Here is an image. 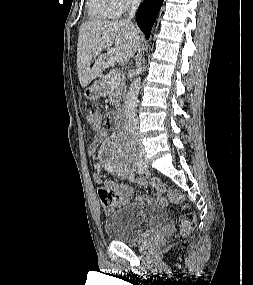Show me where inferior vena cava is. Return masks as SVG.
Instances as JSON below:
<instances>
[{
	"mask_svg": "<svg viewBox=\"0 0 253 285\" xmlns=\"http://www.w3.org/2000/svg\"><path fill=\"white\" fill-rule=\"evenodd\" d=\"M140 0H132L131 1V8L128 14V17L125 21L130 22L131 23V19L135 16V13L137 11V8L139 6Z\"/></svg>",
	"mask_w": 253,
	"mask_h": 285,
	"instance_id": "inferior-vena-cava-1",
	"label": "inferior vena cava"
}]
</instances>
